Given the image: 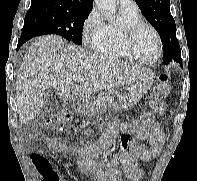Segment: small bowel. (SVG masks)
<instances>
[{
    "label": "small bowel",
    "mask_w": 197,
    "mask_h": 181,
    "mask_svg": "<svg viewBox=\"0 0 197 181\" xmlns=\"http://www.w3.org/2000/svg\"><path fill=\"white\" fill-rule=\"evenodd\" d=\"M119 128L123 132L122 143H126L128 148L115 153L106 162L105 167L102 166L98 159L105 150L106 142L99 146L86 145L78 149L51 138H46L45 143L48 150L53 154L75 155L78 169L91 175L96 181H121L122 174L132 181H140L143 177V170L139 163L149 162L160 154L165 143V135L160 123H153L149 133V146H145L134 141L131 132L126 126L121 125ZM31 160L40 175L41 181H67L53 168L43 152L33 153Z\"/></svg>",
    "instance_id": "small-bowel-1"
}]
</instances>
